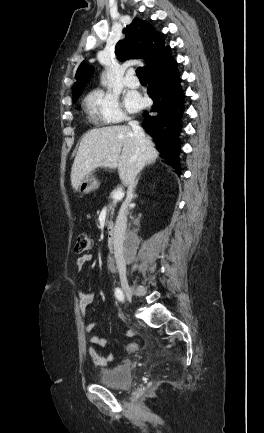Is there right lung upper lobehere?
<instances>
[{"label":"right lung upper lobe","instance_id":"cb5924a9","mask_svg":"<svg viewBox=\"0 0 264 433\" xmlns=\"http://www.w3.org/2000/svg\"><path fill=\"white\" fill-rule=\"evenodd\" d=\"M123 33L124 38L117 43L115 53L123 59L145 60L147 64L142 68L144 73L171 58L170 47L165 46L162 34L156 32L148 22L135 18ZM92 72L88 64H80L75 75L77 81L73 85V99L79 98Z\"/></svg>","mask_w":264,"mask_h":433}]
</instances>
